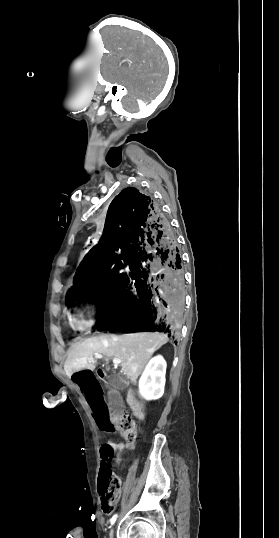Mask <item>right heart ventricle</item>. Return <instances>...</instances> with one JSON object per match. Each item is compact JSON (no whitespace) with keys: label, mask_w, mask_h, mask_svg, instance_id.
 <instances>
[{"label":"right heart ventricle","mask_w":279,"mask_h":538,"mask_svg":"<svg viewBox=\"0 0 279 538\" xmlns=\"http://www.w3.org/2000/svg\"><path fill=\"white\" fill-rule=\"evenodd\" d=\"M54 226L56 228V231L59 235H63L65 234V236H67L68 240L69 241H74L75 238H76V235H77V232L76 231H73V230H70V231H66V228H65V223L63 222V219L58 216L56 218V221L54 223ZM69 323L72 325V326H78V327H82L84 322L82 320V316L80 314V311L78 309H73L70 313H69Z\"/></svg>","instance_id":"right-heart-ventricle-1"}]
</instances>
